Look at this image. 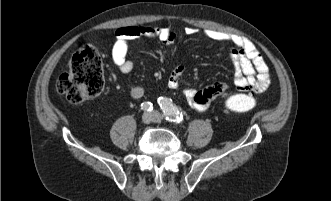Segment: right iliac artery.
Instances as JSON below:
<instances>
[{"instance_id":"obj_1","label":"right iliac artery","mask_w":331,"mask_h":201,"mask_svg":"<svg viewBox=\"0 0 331 201\" xmlns=\"http://www.w3.org/2000/svg\"><path fill=\"white\" fill-rule=\"evenodd\" d=\"M141 108L144 110V111H151L153 110V105L151 102H143L141 104Z\"/></svg>"}]
</instances>
